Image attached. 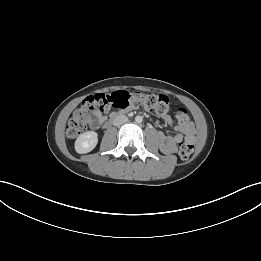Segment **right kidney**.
I'll return each instance as SVG.
<instances>
[{"instance_id": "obj_1", "label": "right kidney", "mask_w": 261, "mask_h": 261, "mask_svg": "<svg viewBox=\"0 0 261 261\" xmlns=\"http://www.w3.org/2000/svg\"><path fill=\"white\" fill-rule=\"evenodd\" d=\"M98 142V134L94 131H87L81 134L75 141L77 153L84 154L92 151Z\"/></svg>"}]
</instances>
